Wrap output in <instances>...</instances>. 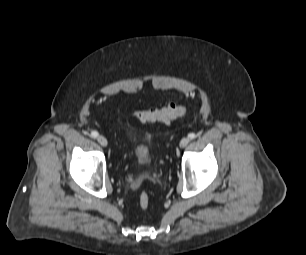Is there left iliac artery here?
Wrapping results in <instances>:
<instances>
[{
    "label": "left iliac artery",
    "instance_id": "obj_1",
    "mask_svg": "<svg viewBox=\"0 0 306 255\" xmlns=\"http://www.w3.org/2000/svg\"><path fill=\"white\" fill-rule=\"evenodd\" d=\"M188 137H189L190 139H195V138H196V134H195V133H190V134L188 135Z\"/></svg>",
    "mask_w": 306,
    "mask_h": 255
}]
</instances>
